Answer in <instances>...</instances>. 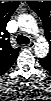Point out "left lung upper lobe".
I'll return each instance as SVG.
<instances>
[{
    "mask_svg": "<svg viewBox=\"0 0 51 101\" xmlns=\"http://www.w3.org/2000/svg\"><path fill=\"white\" fill-rule=\"evenodd\" d=\"M30 8L36 12V14L41 18L44 25V33L47 40L51 38V1H28ZM50 55L46 56L44 59H48L50 62Z\"/></svg>",
    "mask_w": 51,
    "mask_h": 101,
    "instance_id": "left-lung-upper-lobe-1",
    "label": "left lung upper lobe"
}]
</instances>
